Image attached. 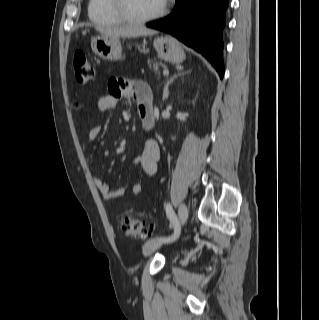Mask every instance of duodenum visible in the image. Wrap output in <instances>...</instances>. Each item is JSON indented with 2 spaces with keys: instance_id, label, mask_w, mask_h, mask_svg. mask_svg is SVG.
Returning <instances> with one entry per match:
<instances>
[{
  "instance_id": "obj_1",
  "label": "duodenum",
  "mask_w": 319,
  "mask_h": 320,
  "mask_svg": "<svg viewBox=\"0 0 319 320\" xmlns=\"http://www.w3.org/2000/svg\"><path fill=\"white\" fill-rule=\"evenodd\" d=\"M142 125L145 128H151L155 123V110L154 108H145L139 112Z\"/></svg>"
}]
</instances>
